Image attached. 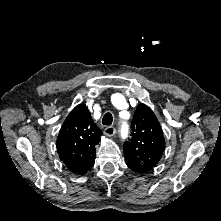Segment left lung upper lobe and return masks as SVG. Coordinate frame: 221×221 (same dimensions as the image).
I'll list each match as a JSON object with an SVG mask.
<instances>
[{
	"mask_svg": "<svg viewBox=\"0 0 221 221\" xmlns=\"http://www.w3.org/2000/svg\"><path fill=\"white\" fill-rule=\"evenodd\" d=\"M132 138L124 144V156L135 162L139 172L151 170L160 161L165 140L160 123L153 111L140 104L131 122Z\"/></svg>",
	"mask_w": 221,
	"mask_h": 221,
	"instance_id": "obj_1",
	"label": "left lung upper lobe"
}]
</instances>
